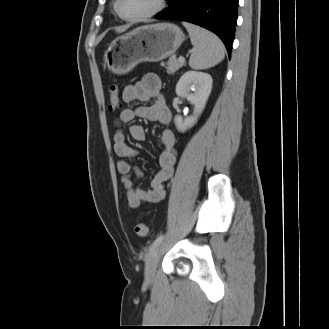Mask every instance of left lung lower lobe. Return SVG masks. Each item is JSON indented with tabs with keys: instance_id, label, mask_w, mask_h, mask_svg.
Instances as JSON below:
<instances>
[{
	"instance_id": "obj_1",
	"label": "left lung lower lobe",
	"mask_w": 329,
	"mask_h": 329,
	"mask_svg": "<svg viewBox=\"0 0 329 329\" xmlns=\"http://www.w3.org/2000/svg\"><path fill=\"white\" fill-rule=\"evenodd\" d=\"M169 8L156 19L181 20L215 33L225 44L229 57L235 37L238 0H168Z\"/></svg>"
}]
</instances>
